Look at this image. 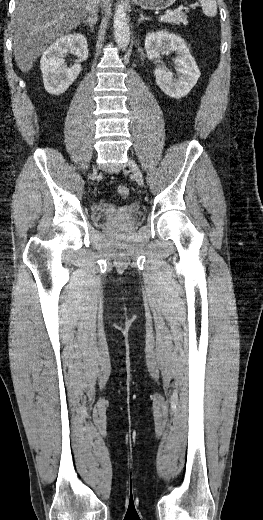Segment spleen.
Returning a JSON list of instances; mask_svg holds the SVG:
<instances>
[{"label":"spleen","instance_id":"obj_1","mask_svg":"<svg viewBox=\"0 0 263 520\" xmlns=\"http://www.w3.org/2000/svg\"><path fill=\"white\" fill-rule=\"evenodd\" d=\"M203 13L208 17H214L217 14L216 0H199Z\"/></svg>","mask_w":263,"mask_h":520}]
</instances>
